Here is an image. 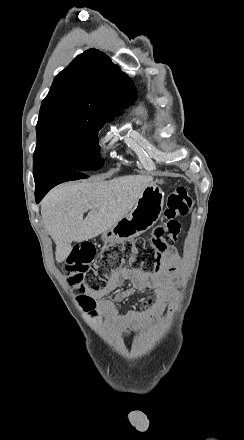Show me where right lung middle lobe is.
I'll use <instances>...</instances> for the list:
<instances>
[{
  "label": "right lung middle lobe",
  "instance_id": "dd1d6c3e",
  "mask_svg": "<svg viewBox=\"0 0 244 440\" xmlns=\"http://www.w3.org/2000/svg\"><path fill=\"white\" fill-rule=\"evenodd\" d=\"M116 112L75 103H42L36 126L34 172L69 168L87 172L102 167L98 132Z\"/></svg>",
  "mask_w": 244,
  "mask_h": 440
}]
</instances>
